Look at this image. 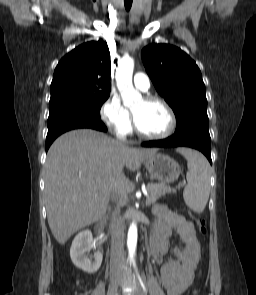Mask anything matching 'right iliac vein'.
Here are the masks:
<instances>
[{"label":"right iliac vein","instance_id":"1","mask_svg":"<svg viewBox=\"0 0 256 295\" xmlns=\"http://www.w3.org/2000/svg\"><path fill=\"white\" fill-rule=\"evenodd\" d=\"M121 278V273H115L110 277L107 295H115Z\"/></svg>","mask_w":256,"mask_h":295}]
</instances>
